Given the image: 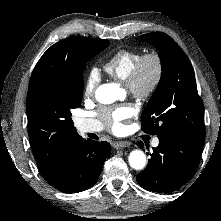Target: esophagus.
Here are the masks:
<instances>
[{"mask_svg":"<svg viewBox=\"0 0 221 221\" xmlns=\"http://www.w3.org/2000/svg\"><path fill=\"white\" fill-rule=\"evenodd\" d=\"M131 145L130 142L128 141H115L112 143V146L115 149H121V148H125V147H129Z\"/></svg>","mask_w":221,"mask_h":221,"instance_id":"34e87169","label":"esophagus"}]
</instances>
